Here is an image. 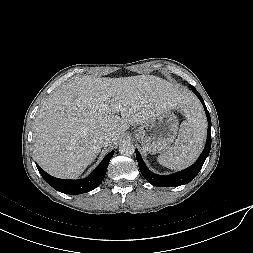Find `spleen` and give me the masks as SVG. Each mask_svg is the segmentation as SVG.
I'll use <instances>...</instances> for the list:
<instances>
[{
    "mask_svg": "<svg viewBox=\"0 0 253 253\" xmlns=\"http://www.w3.org/2000/svg\"><path fill=\"white\" fill-rule=\"evenodd\" d=\"M185 117L175 143L157 158L162 166L174 170L184 169L195 162L203 149L207 128L203 113L190 101Z\"/></svg>",
    "mask_w": 253,
    "mask_h": 253,
    "instance_id": "3e777b00",
    "label": "spleen"
}]
</instances>
